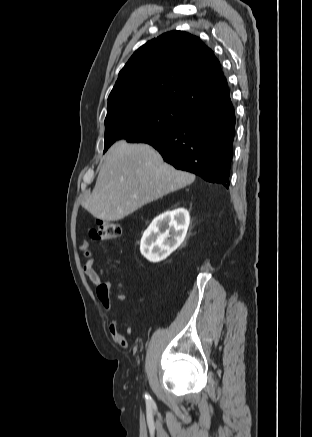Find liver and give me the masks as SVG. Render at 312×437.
Segmentation results:
<instances>
[{"label":"liver","mask_w":312,"mask_h":437,"mask_svg":"<svg viewBox=\"0 0 312 437\" xmlns=\"http://www.w3.org/2000/svg\"><path fill=\"white\" fill-rule=\"evenodd\" d=\"M194 180L195 175L165 163L152 146L121 140L107 151L82 205L95 218L118 221Z\"/></svg>","instance_id":"6515ba94"}]
</instances>
